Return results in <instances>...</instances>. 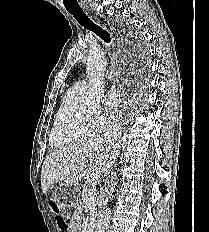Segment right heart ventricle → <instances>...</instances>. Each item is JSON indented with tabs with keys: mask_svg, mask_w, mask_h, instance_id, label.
I'll list each match as a JSON object with an SVG mask.
<instances>
[{
	"mask_svg": "<svg viewBox=\"0 0 209 232\" xmlns=\"http://www.w3.org/2000/svg\"><path fill=\"white\" fill-rule=\"evenodd\" d=\"M84 93L70 88L57 111L49 137L54 149H63L83 141L95 134V122L87 117L79 107Z\"/></svg>",
	"mask_w": 209,
	"mask_h": 232,
	"instance_id": "e07e8e85",
	"label": "right heart ventricle"
}]
</instances>
